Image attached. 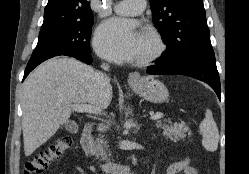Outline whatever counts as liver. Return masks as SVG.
<instances>
[{"mask_svg":"<svg viewBox=\"0 0 249 174\" xmlns=\"http://www.w3.org/2000/svg\"><path fill=\"white\" fill-rule=\"evenodd\" d=\"M96 71L73 58L49 59L30 73L23 85L22 130L28 157L66 124L73 104L105 109L112 86L101 87Z\"/></svg>","mask_w":249,"mask_h":174,"instance_id":"liver-1","label":"liver"}]
</instances>
